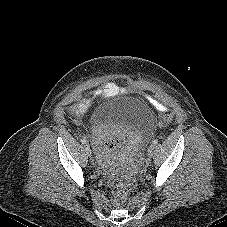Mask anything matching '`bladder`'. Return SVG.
Masks as SVG:
<instances>
[{"instance_id": "31cf9c89", "label": "bladder", "mask_w": 227, "mask_h": 227, "mask_svg": "<svg viewBox=\"0 0 227 227\" xmlns=\"http://www.w3.org/2000/svg\"><path fill=\"white\" fill-rule=\"evenodd\" d=\"M122 102L128 103L129 100ZM89 124L94 129L105 125L124 126L147 138L154 131L155 120L152 113L137 102L130 101V106H123L109 101L101 103L91 110Z\"/></svg>"}]
</instances>
